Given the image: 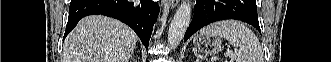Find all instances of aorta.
Segmentation results:
<instances>
[{"label":"aorta","mask_w":331,"mask_h":62,"mask_svg":"<svg viewBox=\"0 0 331 62\" xmlns=\"http://www.w3.org/2000/svg\"><path fill=\"white\" fill-rule=\"evenodd\" d=\"M191 21V6L189 2L183 1L176 11L168 32V45L176 48L183 39Z\"/></svg>","instance_id":"obj_1"}]
</instances>
